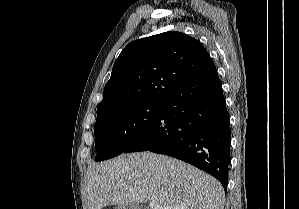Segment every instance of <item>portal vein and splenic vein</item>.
Returning <instances> with one entry per match:
<instances>
[{"label": "portal vein and splenic vein", "mask_w": 299, "mask_h": 209, "mask_svg": "<svg viewBox=\"0 0 299 209\" xmlns=\"http://www.w3.org/2000/svg\"><path fill=\"white\" fill-rule=\"evenodd\" d=\"M149 206H150L151 209H171V208H169V207H163V206H160V205H158L157 202H155V201H150V202H149Z\"/></svg>", "instance_id": "obj_1"}]
</instances>
